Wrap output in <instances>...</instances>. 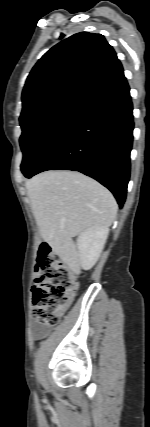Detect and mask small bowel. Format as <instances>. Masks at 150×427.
I'll return each instance as SVG.
<instances>
[{
	"label": "small bowel",
	"mask_w": 150,
	"mask_h": 427,
	"mask_svg": "<svg viewBox=\"0 0 150 427\" xmlns=\"http://www.w3.org/2000/svg\"><path fill=\"white\" fill-rule=\"evenodd\" d=\"M47 333L48 329L42 325H34L31 330V335L35 340L43 338Z\"/></svg>",
	"instance_id": "obj_1"
}]
</instances>
